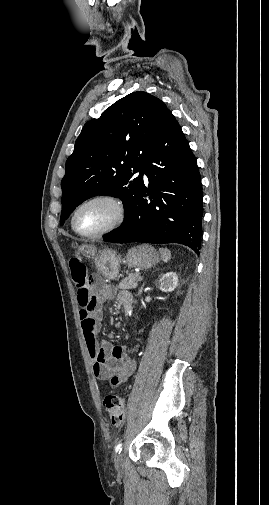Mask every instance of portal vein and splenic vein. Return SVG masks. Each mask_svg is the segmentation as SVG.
Returning a JSON list of instances; mask_svg holds the SVG:
<instances>
[{
    "mask_svg": "<svg viewBox=\"0 0 269 505\" xmlns=\"http://www.w3.org/2000/svg\"><path fill=\"white\" fill-rule=\"evenodd\" d=\"M143 279V276H139L138 280H142Z\"/></svg>",
    "mask_w": 269,
    "mask_h": 505,
    "instance_id": "1",
    "label": "portal vein and splenic vein"
}]
</instances>
